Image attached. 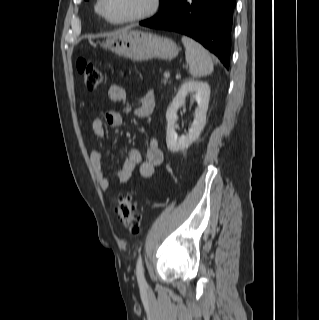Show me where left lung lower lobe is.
Instances as JSON below:
<instances>
[{"instance_id": "1", "label": "left lung lower lobe", "mask_w": 319, "mask_h": 320, "mask_svg": "<svg viewBox=\"0 0 319 320\" xmlns=\"http://www.w3.org/2000/svg\"><path fill=\"white\" fill-rule=\"evenodd\" d=\"M235 0H164L142 26L185 34L200 42L229 68Z\"/></svg>"}]
</instances>
